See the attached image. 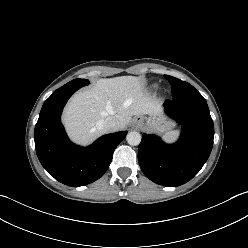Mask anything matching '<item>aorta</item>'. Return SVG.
Listing matches in <instances>:
<instances>
[{
  "mask_svg": "<svg viewBox=\"0 0 248 248\" xmlns=\"http://www.w3.org/2000/svg\"><path fill=\"white\" fill-rule=\"evenodd\" d=\"M141 139H142L141 134L136 131H131L126 136V140L128 144L132 146L139 145L141 142Z\"/></svg>",
  "mask_w": 248,
  "mask_h": 248,
  "instance_id": "obj_1",
  "label": "aorta"
}]
</instances>
